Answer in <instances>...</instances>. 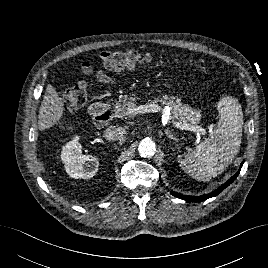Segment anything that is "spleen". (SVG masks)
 Wrapping results in <instances>:
<instances>
[{"mask_svg": "<svg viewBox=\"0 0 268 268\" xmlns=\"http://www.w3.org/2000/svg\"><path fill=\"white\" fill-rule=\"evenodd\" d=\"M217 110L218 126L180 161L182 168L196 180L209 181L222 173L239 151L243 127L240 103L231 96L223 97Z\"/></svg>", "mask_w": 268, "mask_h": 268, "instance_id": "3e777b00", "label": "spleen"}]
</instances>
